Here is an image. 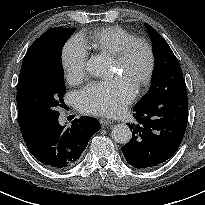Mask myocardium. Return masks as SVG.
<instances>
[{"instance_id":"obj_1","label":"myocardium","mask_w":205,"mask_h":205,"mask_svg":"<svg viewBox=\"0 0 205 205\" xmlns=\"http://www.w3.org/2000/svg\"><path fill=\"white\" fill-rule=\"evenodd\" d=\"M136 47H142L147 55V64L145 70L136 81L139 87H144L150 82L156 64L154 49L146 39L141 37H135L128 41L122 47V49L115 55V61L119 66L125 67Z\"/></svg>"}]
</instances>
